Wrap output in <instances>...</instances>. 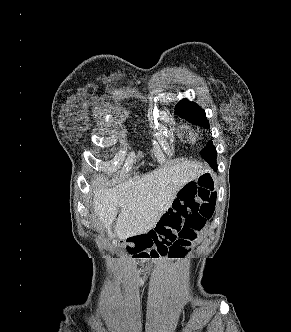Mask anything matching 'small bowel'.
Here are the masks:
<instances>
[{
  "mask_svg": "<svg viewBox=\"0 0 291 332\" xmlns=\"http://www.w3.org/2000/svg\"><path fill=\"white\" fill-rule=\"evenodd\" d=\"M192 188H197L196 184L193 183V182H188L181 188L180 191L189 190V189H192Z\"/></svg>",
  "mask_w": 291,
  "mask_h": 332,
  "instance_id": "small-bowel-1",
  "label": "small bowel"
}]
</instances>
